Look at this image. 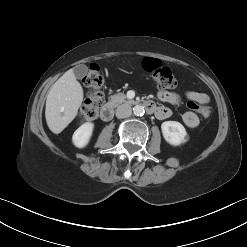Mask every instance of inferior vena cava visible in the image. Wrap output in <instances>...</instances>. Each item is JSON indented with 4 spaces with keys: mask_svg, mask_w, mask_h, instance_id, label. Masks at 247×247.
<instances>
[{
    "mask_svg": "<svg viewBox=\"0 0 247 247\" xmlns=\"http://www.w3.org/2000/svg\"><path fill=\"white\" fill-rule=\"evenodd\" d=\"M132 108L129 104H122L116 109V117L119 119L131 116Z\"/></svg>",
    "mask_w": 247,
    "mask_h": 247,
    "instance_id": "obj_1",
    "label": "inferior vena cava"
}]
</instances>
